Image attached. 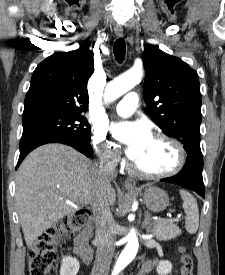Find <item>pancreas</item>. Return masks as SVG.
<instances>
[{
    "label": "pancreas",
    "mask_w": 225,
    "mask_h": 275,
    "mask_svg": "<svg viewBox=\"0 0 225 275\" xmlns=\"http://www.w3.org/2000/svg\"><path fill=\"white\" fill-rule=\"evenodd\" d=\"M151 231L159 241L174 239L181 234L179 227L168 220L152 222Z\"/></svg>",
    "instance_id": "obj_1"
}]
</instances>
